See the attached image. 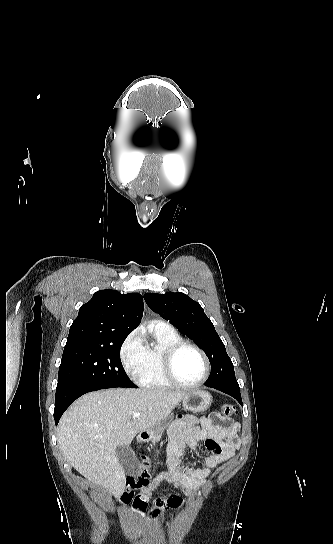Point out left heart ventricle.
I'll return each mask as SVG.
<instances>
[{"instance_id":"left-heart-ventricle-1","label":"left heart ventricle","mask_w":333,"mask_h":544,"mask_svg":"<svg viewBox=\"0 0 333 544\" xmlns=\"http://www.w3.org/2000/svg\"><path fill=\"white\" fill-rule=\"evenodd\" d=\"M175 371L182 382L195 383L204 376L205 365L196 351L184 349L176 359Z\"/></svg>"}]
</instances>
